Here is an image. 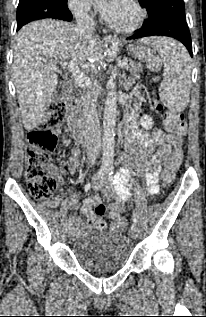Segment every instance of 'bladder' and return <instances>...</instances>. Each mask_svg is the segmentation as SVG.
Here are the masks:
<instances>
[{
  "label": "bladder",
  "instance_id": "31cf9c89",
  "mask_svg": "<svg viewBox=\"0 0 206 317\" xmlns=\"http://www.w3.org/2000/svg\"><path fill=\"white\" fill-rule=\"evenodd\" d=\"M132 244L124 234L114 231L86 233L74 243L73 254L89 271H111L123 267L132 254Z\"/></svg>",
  "mask_w": 206,
  "mask_h": 317
}]
</instances>
